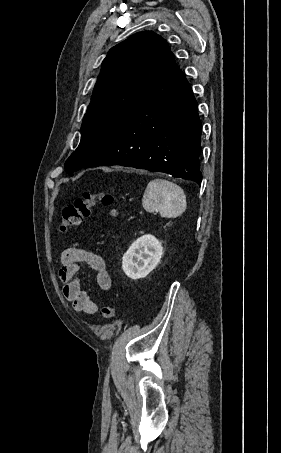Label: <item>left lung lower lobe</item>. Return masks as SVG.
I'll use <instances>...</instances> for the list:
<instances>
[{
	"label": "left lung lower lobe",
	"mask_w": 281,
	"mask_h": 453,
	"mask_svg": "<svg viewBox=\"0 0 281 453\" xmlns=\"http://www.w3.org/2000/svg\"><path fill=\"white\" fill-rule=\"evenodd\" d=\"M201 132L197 102L171 53L131 115L83 168L129 166L200 184Z\"/></svg>",
	"instance_id": "0a47b994"
}]
</instances>
